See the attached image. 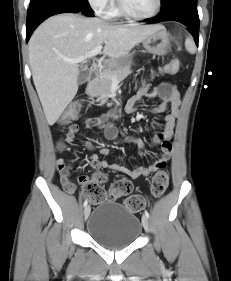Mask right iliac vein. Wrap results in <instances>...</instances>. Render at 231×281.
<instances>
[{"mask_svg":"<svg viewBox=\"0 0 231 281\" xmlns=\"http://www.w3.org/2000/svg\"><path fill=\"white\" fill-rule=\"evenodd\" d=\"M90 211H91L90 206H86L85 209H84V218H85V220L89 217Z\"/></svg>","mask_w":231,"mask_h":281,"instance_id":"right-iliac-vein-1","label":"right iliac vein"}]
</instances>
